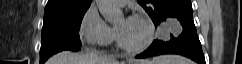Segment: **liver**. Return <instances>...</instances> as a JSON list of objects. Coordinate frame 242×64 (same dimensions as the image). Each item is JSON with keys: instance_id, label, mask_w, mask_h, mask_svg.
<instances>
[{"instance_id": "1", "label": "liver", "mask_w": 242, "mask_h": 64, "mask_svg": "<svg viewBox=\"0 0 242 64\" xmlns=\"http://www.w3.org/2000/svg\"><path fill=\"white\" fill-rule=\"evenodd\" d=\"M46 64H124L112 59H103L96 54L79 55L64 51L52 56ZM129 64H152L149 60H138Z\"/></svg>"}]
</instances>
